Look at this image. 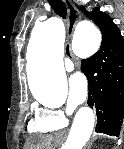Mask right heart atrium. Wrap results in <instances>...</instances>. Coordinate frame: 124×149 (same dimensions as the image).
I'll list each match as a JSON object with an SVG mask.
<instances>
[{
    "instance_id": "obj_1",
    "label": "right heart atrium",
    "mask_w": 124,
    "mask_h": 149,
    "mask_svg": "<svg viewBox=\"0 0 124 149\" xmlns=\"http://www.w3.org/2000/svg\"><path fill=\"white\" fill-rule=\"evenodd\" d=\"M37 117L48 120L56 127H64L66 125V113L63 110L41 109Z\"/></svg>"
}]
</instances>
